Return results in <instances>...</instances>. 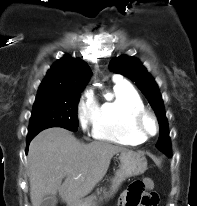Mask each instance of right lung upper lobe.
<instances>
[{"mask_svg": "<svg viewBox=\"0 0 197 206\" xmlns=\"http://www.w3.org/2000/svg\"><path fill=\"white\" fill-rule=\"evenodd\" d=\"M90 74L91 70L84 61L65 55L47 72L38 91H82Z\"/></svg>", "mask_w": 197, "mask_h": 206, "instance_id": "1", "label": "right lung upper lobe"}]
</instances>
